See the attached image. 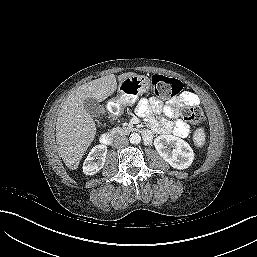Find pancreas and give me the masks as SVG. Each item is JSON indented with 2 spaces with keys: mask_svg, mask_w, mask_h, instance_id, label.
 I'll list each match as a JSON object with an SVG mask.
<instances>
[{
  "mask_svg": "<svg viewBox=\"0 0 257 257\" xmlns=\"http://www.w3.org/2000/svg\"><path fill=\"white\" fill-rule=\"evenodd\" d=\"M133 129L130 127H116L110 130L111 135L113 136H119V135H127L129 134Z\"/></svg>",
  "mask_w": 257,
  "mask_h": 257,
  "instance_id": "1",
  "label": "pancreas"
}]
</instances>
